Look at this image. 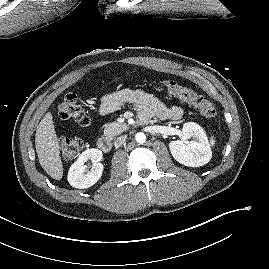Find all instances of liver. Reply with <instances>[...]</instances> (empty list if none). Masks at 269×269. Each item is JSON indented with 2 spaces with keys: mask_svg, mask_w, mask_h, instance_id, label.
<instances>
[{
  "mask_svg": "<svg viewBox=\"0 0 269 269\" xmlns=\"http://www.w3.org/2000/svg\"><path fill=\"white\" fill-rule=\"evenodd\" d=\"M35 147L44 171L53 179L60 180L63 176V165L51 112L44 115L37 127Z\"/></svg>",
  "mask_w": 269,
  "mask_h": 269,
  "instance_id": "obj_1",
  "label": "liver"
}]
</instances>
